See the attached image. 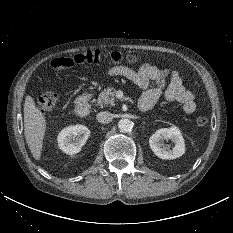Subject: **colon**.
<instances>
[{
    "label": "colon",
    "instance_id": "colon-1",
    "mask_svg": "<svg viewBox=\"0 0 233 233\" xmlns=\"http://www.w3.org/2000/svg\"><path fill=\"white\" fill-rule=\"evenodd\" d=\"M136 62L138 56L135 55H122L120 52H111L108 54H102L97 50H88L75 55L55 58L51 62V66L55 69H67L74 65H80L85 63H99L103 61H110L119 63L121 61ZM58 102V94L54 91H46L40 94L37 103L42 111H49L53 109ZM199 127H206L208 125V119L200 116L196 120Z\"/></svg>",
    "mask_w": 233,
    "mask_h": 233
}]
</instances>
